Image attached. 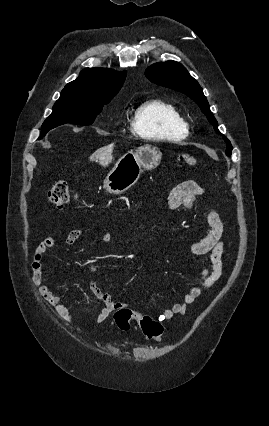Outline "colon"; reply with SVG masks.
I'll list each match as a JSON object with an SVG mask.
<instances>
[{"label":"colon","instance_id":"colon-1","mask_svg":"<svg viewBox=\"0 0 269 426\" xmlns=\"http://www.w3.org/2000/svg\"><path fill=\"white\" fill-rule=\"evenodd\" d=\"M181 159L190 167H195L197 165V159L192 155L184 154L181 156ZM48 197L54 205L61 207L71 200L72 195L67 183L64 180H59L50 188ZM134 315L135 312L131 309L127 307H120L114 313V320L120 329L128 330L130 328L131 321L134 320ZM138 323L146 338L154 341H160L162 339L163 326L159 321L154 320L147 315H143L138 320Z\"/></svg>","mask_w":269,"mask_h":426}]
</instances>
